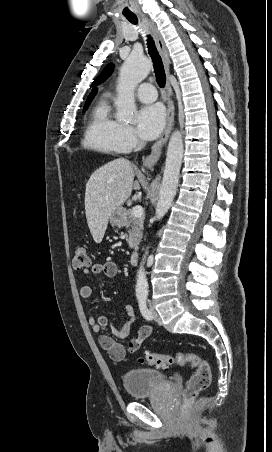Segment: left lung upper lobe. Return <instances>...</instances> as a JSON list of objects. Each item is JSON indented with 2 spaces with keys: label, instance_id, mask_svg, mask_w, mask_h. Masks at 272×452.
Segmentation results:
<instances>
[{
  "label": "left lung upper lobe",
  "instance_id": "left-lung-upper-lobe-1",
  "mask_svg": "<svg viewBox=\"0 0 272 452\" xmlns=\"http://www.w3.org/2000/svg\"><path fill=\"white\" fill-rule=\"evenodd\" d=\"M114 68L113 64H108L103 71L100 73V75L95 79V81L93 82V84H100L103 81H105L112 73Z\"/></svg>",
  "mask_w": 272,
  "mask_h": 452
}]
</instances>
